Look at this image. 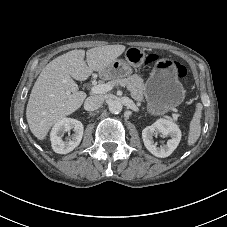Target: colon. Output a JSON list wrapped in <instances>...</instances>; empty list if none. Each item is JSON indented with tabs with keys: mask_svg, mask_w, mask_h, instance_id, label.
Here are the masks:
<instances>
[{
	"mask_svg": "<svg viewBox=\"0 0 227 227\" xmlns=\"http://www.w3.org/2000/svg\"><path fill=\"white\" fill-rule=\"evenodd\" d=\"M156 59V55H149L146 59V64L149 65L153 63ZM176 71L179 78L184 79L186 77V69L183 66L177 65Z\"/></svg>",
	"mask_w": 227,
	"mask_h": 227,
	"instance_id": "5ec220e1",
	"label": "colon"
}]
</instances>
